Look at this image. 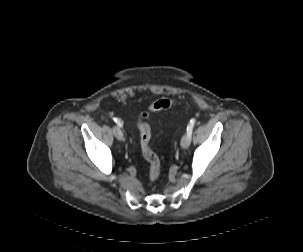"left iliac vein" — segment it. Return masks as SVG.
Segmentation results:
<instances>
[{"mask_svg": "<svg viewBox=\"0 0 303 252\" xmlns=\"http://www.w3.org/2000/svg\"><path fill=\"white\" fill-rule=\"evenodd\" d=\"M190 143H191V134L187 132L181 139V147L183 149H186L189 147Z\"/></svg>", "mask_w": 303, "mask_h": 252, "instance_id": "obj_1", "label": "left iliac vein"}]
</instances>
